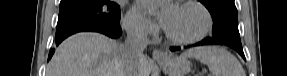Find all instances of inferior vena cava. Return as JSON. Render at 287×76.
Listing matches in <instances>:
<instances>
[{
	"label": "inferior vena cava",
	"mask_w": 287,
	"mask_h": 76,
	"mask_svg": "<svg viewBox=\"0 0 287 76\" xmlns=\"http://www.w3.org/2000/svg\"><path fill=\"white\" fill-rule=\"evenodd\" d=\"M127 37L122 45L124 76H138V65L146 61L144 50L149 39L147 26L139 20H131L124 26Z\"/></svg>",
	"instance_id": "obj_1"
}]
</instances>
